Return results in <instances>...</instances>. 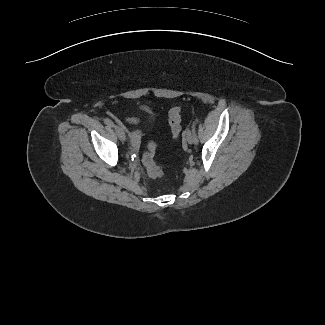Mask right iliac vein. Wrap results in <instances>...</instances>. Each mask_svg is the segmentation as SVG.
Segmentation results:
<instances>
[{
  "label": "right iliac vein",
  "instance_id": "63e3f726",
  "mask_svg": "<svg viewBox=\"0 0 325 325\" xmlns=\"http://www.w3.org/2000/svg\"><path fill=\"white\" fill-rule=\"evenodd\" d=\"M115 131H116V134L118 136V138L124 142L126 140V135H125V132L124 130L120 127V126H115Z\"/></svg>",
  "mask_w": 325,
  "mask_h": 325
}]
</instances>
